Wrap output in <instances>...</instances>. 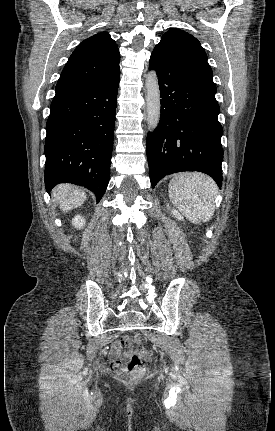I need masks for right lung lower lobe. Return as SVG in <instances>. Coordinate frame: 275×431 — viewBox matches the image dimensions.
<instances>
[{
	"label": "right lung lower lobe",
	"instance_id": "obj_1",
	"mask_svg": "<svg viewBox=\"0 0 275 431\" xmlns=\"http://www.w3.org/2000/svg\"><path fill=\"white\" fill-rule=\"evenodd\" d=\"M120 71L95 85L58 91L45 140V186L74 183L99 201L109 182Z\"/></svg>",
	"mask_w": 275,
	"mask_h": 431
}]
</instances>
